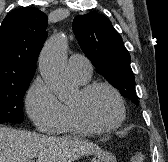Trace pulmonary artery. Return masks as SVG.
<instances>
[{
    "label": "pulmonary artery",
    "instance_id": "1",
    "mask_svg": "<svg viewBox=\"0 0 168 162\" xmlns=\"http://www.w3.org/2000/svg\"><path fill=\"white\" fill-rule=\"evenodd\" d=\"M68 66L75 78L87 82L92 74V66L88 58L83 55L73 54L68 59Z\"/></svg>",
    "mask_w": 168,
    "mask_h": 162
}]
</instances>
